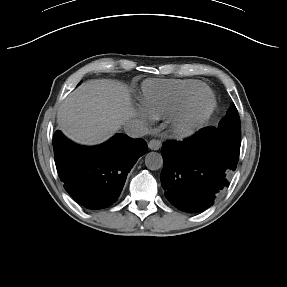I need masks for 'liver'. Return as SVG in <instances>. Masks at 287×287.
<instances>
[{
	"mask_svg": "<svg viewBox=\"0 0 287 287\" xmlns=\"http://www.w3.org/2000/svg\"><path fill=\"white\" fill-rule=\"evenodd\" d=\"M135 116L127 88L114 80L82 83L60 105L58 128L82 145H97L112 137Z\"/></svg>",
	"mask_w": 287,
	"mask_h": 287,
	"instance_id": "6515ba94",
	"label": "liver"
}]
</instances>
